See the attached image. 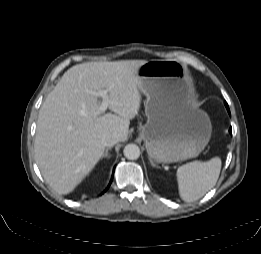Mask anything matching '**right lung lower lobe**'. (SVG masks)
I'll list each match as a JSON object with an SVG mask.
<instances>
[{"mask_svg":"<svg viewBox=\"0 0 261 254\" xmlns=\"http://www.w3.org/2000/svg\"><path fill=\"white\" fill-rule=\"evenodd\" d=\"M113 175H114V172H113V174H112V179H113ZM112 179H111V181H110L108 187L104 190V192L109 188V186H110V184H111V182H112Z\"/></svg>","mask_w":261,"mask_h":254,"instance_id":"right-lung-lower-lobe-1","label":"right lung lower lobe"}]
</instances>
